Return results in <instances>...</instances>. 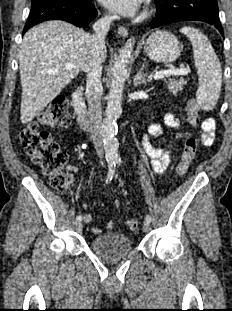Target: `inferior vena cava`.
Wrapping results in <instances>:
<instances>
[{"label": "inferior vena cava", "mask_w": 232, "mask_h": 311, "mask_svg": "<svg viewBox=\"0 0 232 311\" xmlns=\"http://www.w3.org/2000/svg\"><path fill=\"white\" fill-rule=\"evenodd\" d=\"M116 16H105L93 25L95 33L90 35L87 44L90 48L92 62L87 71L86 98L88 102V114L90 119V132L94 148L100 159L103 157L102 143V115H101V74H102V53L105 49V36L110 29L111 22Z\"/></svg>", "instance_id": "obj_1"}]
</instances>
